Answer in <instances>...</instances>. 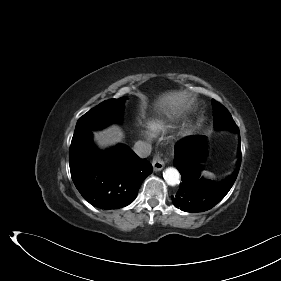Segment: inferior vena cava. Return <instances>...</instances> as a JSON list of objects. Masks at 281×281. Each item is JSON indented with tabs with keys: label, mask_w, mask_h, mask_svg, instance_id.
<instances>
[{
	"label": "inferior vena cava",
	"mask_w": 281,
	"mask_h": 281,
	"mask_svg": "<svg viewBox=\"0 0 281 281\" xmlns=\"http://www.w3.org/2000/svg\"><path fill=\"white\" fill-rule=\"evenodd\" d=\"M134 152L141 158H146L150 155L152 146L150 143L137 141L133 147Z\"/></svg>",
	"instance_id": "obj_1"
}]
</instances>
